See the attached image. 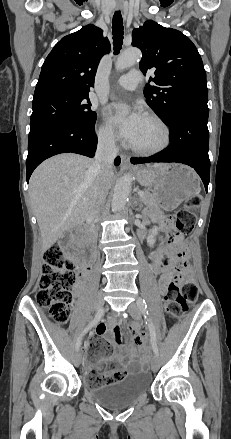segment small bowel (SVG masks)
Instances as JSON below:
<instances>
[{
	"instance_id": "small-bowel-1",
	"label": "small bowel",
	"mask_w": 231,
	"mask_h": 439,
	"mask_svg": "<svg viewBox=\"0 0 231 439\" xmlns=\"http://www.w3.org/2000/svg\"><path fill=\"white\" fill-rule=\"evenodd\" d=\"M174 253L173 247H165L161 248L157 251H155L152 254V262H153V271L155 273H161L163 271H167V267L163 266V260L166 258H170ZM88 269L86 267H82L81 275L84 276L87 273ZM161 288H165L163 280L161 279L160 282ZM97 333L107 338L110 341H113L116 345V359L121 363L122 365L126 366L129 370L135 371L137 370L142 364L143 361L135 360L136 356V350L134 347H130L128 350L124 348L122 345V336L119 331V329L113 325L110 324L108 326L106 325H100L97 327ZM136 342L139 347L144 348L146 346V340L142 336L136 337ZM111 361L110 358L102 359L98 364L90 367V370L99 371V372H105L106 365Z\"/></svg>"
}]
</instances>
